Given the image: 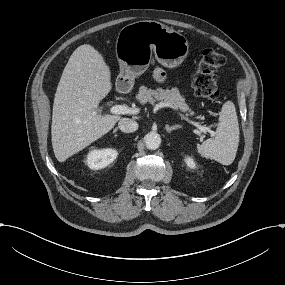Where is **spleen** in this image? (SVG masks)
Segmentation results:
<instances>
[{
  "instance_id": "1",
  "label": "spleen",
  "mask_w": 285,
  "mask_h": 285,
  "mask_svg": "<svg viewBox=\"0 0 285 285\" xmlns=\"http://www.w3.org/2000/svg\"><path fill=\"white\" fill-rule=\"evenodd\" d=\"M239 124L235 105L232 101L223 104L216 136L197 146L202 157L213 159L222 165H230L236 157L239 145Z\"/></svg>"
}]
</instances>
